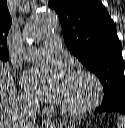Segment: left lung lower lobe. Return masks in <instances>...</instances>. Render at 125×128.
Here are the masks:
<instances>
[{"label": "left lung lower lobe", "instance_id": "obj_1", "mask_svg": "<svg viewBox=\"0 0 125 128\" xmlns=\"http://www.w3.org/2000/svg\"><path fill=\"white\" fill-rule=\"evenodd\" d=\"M111 111L125 114V98L115 103L101 105L99 108L95 110V114L101 113V112H111Z\"/></svg>", "mask_w": 125, "mask_h": 128}]
</instances>
